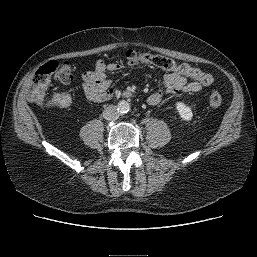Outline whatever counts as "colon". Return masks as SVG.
<instances>
[{
    "label": "colon",
    "instance_id": "1",
    "mask_svg": "<svg viewBox=\"0 0 257 257\" xmlns=\"http://www.w3.org/2000/svg\"><path fill=\"white\" fill-rule=\"evenodd\" d=\"M123 61L128 65L137 62L152 64L169 72H176L200 82L203 86H210L214 78L210 73L204 72L186 63H176L174 60L161 55L137 53L129 50L125 53ZM68 84L73 79L72 66L69 62L49 61L42 65L33 75L26 94L29 100L40 105L64 108L71 104V97L67 93L56 94L51 100H46V90L52 80ZM211 107L218 108L222 104V96L218 91H211L208 96Z\"/></svg>",
    "mask_w": 257,
    "mask_h": 257
}]
</instances>
